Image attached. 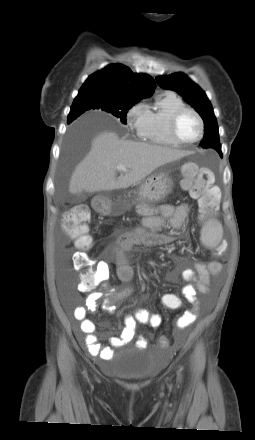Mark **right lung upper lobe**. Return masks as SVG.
<instances>
[{"label": "right lung upper lobe", "instance_id": "obj_1", "mask_svg": "<svg viewBox=\"0 0 255 440\" xmlns=\"http://www.w3.org/2000/svg\"><path fill=\"white\" fill-rule=\"evenodd\" d=\"M155 86V81L149 75L133 73L122 64H112L89 76L78 94H96L111 99L138 102L151 96ZM73 120L74 117L69 118L68 123Z\"/></svg>", "mask_w": 255, "mask_h": 440}]
</instances>
